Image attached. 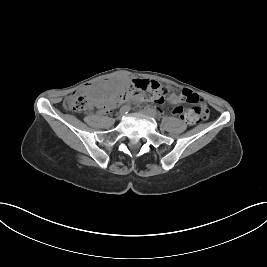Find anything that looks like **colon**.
Returning <instances> with one entry per match:
<instances>
[{
	"instance_id": "5ec220e1",
	"label": "colon",
	"mask_w": 267,
	"mask_h": 267,
	"mask_svg": "<svg viewBox=\"0 0 267 267\" xmlns=\"http://www.w3.org/2000/svg\"><path fill=\"white\" fill-rule=\"evenodd\" d=\"M167 94V89L160 85L158 82L150 81L146 79L133 80L125 90L117 93L109 102L105 105L106 111H110L119 101L128 99H135L139 95L145 96L143 100H151L160 103L164 100ZM182 100L186 103L192 104L193 108L184 112L179 106L175 107L173 113L183 118L194 117L197 120L207 119L209 116V110L202 99L194 93L192 90L183 89L181 92ZM89 99L80 93H73L69 95L64 101L65 109L72 112H82L89 108Z\"/></svg>"
}]
</instances>
